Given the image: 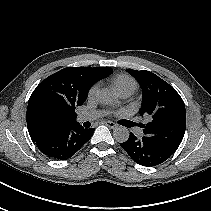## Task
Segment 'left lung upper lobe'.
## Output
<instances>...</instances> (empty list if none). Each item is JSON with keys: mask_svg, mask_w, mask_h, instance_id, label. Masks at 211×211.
Returning <instances> with one entry per match:
<instances>
[{"mask_svg": "<svg viewBox=\"0 0 211 211\" xmlns=\"http://www.w3.org/2000/svg\"><path fill=\"white\" fill-rule=\"evenodd\" d=\"M127 72L142 88L141 116L152 117L151 122L143 125V137L172 155L179 147L186 128L182 98L171 85L150 71L127 69Z\"/></svg>", "mask_w": 211, "mask_h": 211, "instance_id": "1", "label": "left lung upper lobe"}]
</instances>
